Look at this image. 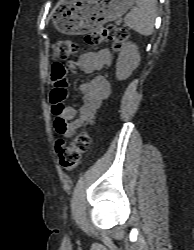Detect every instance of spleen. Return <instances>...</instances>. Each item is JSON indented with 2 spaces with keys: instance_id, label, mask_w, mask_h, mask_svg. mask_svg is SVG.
Wrapping results in <instances>:
<instances>
[{
  "instance_id": "obj_1",
  "label": "spleen",
  "mask_w": 194,
  "mask_h": 250,
  "mask_svg": "<svg viewBox=\"0 0 194 250\" xmlns=\"http://www.w3.org/2000/svg\"><path fill=\"white\" fill-rule=\"evenodd\" d=\"M156 0H136V7L125 17V24L141 35L153 32L156 16Z\"/></svg>"
}]
</instances>
